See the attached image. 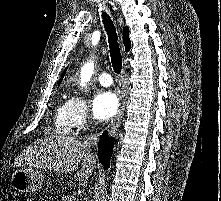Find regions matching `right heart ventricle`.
<instances>
[{
	"label": "right heart ventricle",
	"instance_id": "right-heart-ventricle-1",
	"mask_svg": "<svg viewBox=\"0 0 221 201\" xmlns=\"http://www.w3.org/2000/svg\"><path fill=\"white\" fill-rule=\"evenodd\" d=\"M55 125L62 133H69L72 130L68 101L58 105L55 114Z\"/></svg>",
	"mask_w": 221,
	"mask_h": 201
}]
</instances>
